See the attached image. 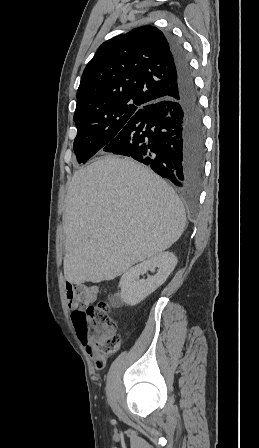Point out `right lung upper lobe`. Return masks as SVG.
Segmentation results:
<instances>
[{
  "label": "right lung upper lobe",
  "instance_id": "1",
  "mask_svg": "<svg viewBox=\"0 0 259 448\" xmlns=\"http://www.w3.org/2000/svg\"><path fill=\"white\" fill-rule=\"evenodd\" d=\"M177 72L166 36L142 26L104 42L86 66L74 115L145 107L171 96Z\"/></svg>",
  "mask_w": 259,
  "mask_h": 448
}]
</instances>
